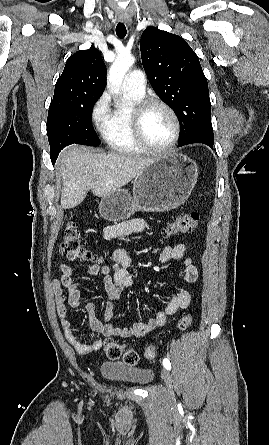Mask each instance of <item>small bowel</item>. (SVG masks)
Instances as JSON below:
<instances>
[{
	"instance_id": "c3829d8e",
	"label": "small bowel",
	"mask_w": 269,
	"mask_h": 445,
	"mask_svg": "<svg viewBox=\"0 0 269 445\" xmlns=\"http://www.w3.org/2000/svg\"><path fill=\"white\" fill-rule=\"evenodd\" d=\"M148 228V223L142 218H135L116 225H110L103 229L105 239H113L132 233L141 232ZM112 265L95 263L87 269L89 275H100L103 279L107 302L104 308L103 320L96 316V306L93 302L86 304V310L90 319L91 327L97 333L104 336H117L121 338L143 337L146 334L162 327L168 316L175 314L179 310L186 309L191 303V296L185 289H180L174 293L167 306L156 313L147 322H137L130 327H115L110 321L114 317L113 301L119 299L121 292L125 288L134 286V279L130 272L133 261L129 254L123 249H117L112 255ZM159 260L167 263L172 260H182L185 266V279L189 283H194L198 279V269L192 259L187 255L184 244L166 246L159 254ZM61 276L53 279L51 288L55 296L57 314L60 319L66 340L71 344L77 353L88 354L98 351L103 343L100 339L89 344L80 342L75 334L73 325L68 316V306L78 308L80 306L81 289L75 281V270L63 263L60 265Z\"/></svg>"
}]
</instances>
